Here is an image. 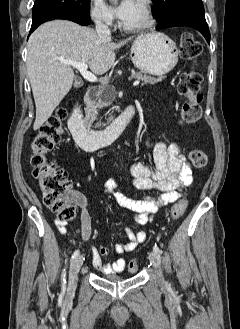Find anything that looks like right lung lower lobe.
I'll list each match as a JSON object with an SVG mask.
<instances>
[{
    "label": "right lung lower lobe",
    "mask_w": 240,
    "mask_h": 329,
    "mask_svg": "<svg viewBox=\"0 0 240 329\" xmlns=\"http://www.w3.org/2000/svg\"><path fill=\"white\" fill-rule=\"evenodd\" d=\"M32 16L33 21L30 33L33 32L40 24L53 19L70 20L80 25H89L90 23V16L58 10H38L33 12Z\"/></svg>",
    "instance_id": "right-lung-lower-lobe-1"
}]
</instances>
